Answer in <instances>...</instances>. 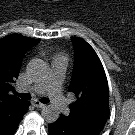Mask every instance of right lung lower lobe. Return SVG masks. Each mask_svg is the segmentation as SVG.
Segmentation results:
<instances>
[{
  "mask_svg": "<svg viewBox=\"0 0 135 135\" xmlns=\"http://www.w3.org/2000/svg\"><path fill=\"white\" fill-rule=\"evenodd\" d=\"M29 105H30V102L26 101L23 106V111H22L21 115L15 121L0 124V135H13L14 134L20 121L23 118V115L26 113Z\"/></svg>",
  "mask_w": 135,
  "mask_h": 135,
  "instance_id": "right-lung-lower-lobe-1",
  "label": "right lung lower lobe"
}]
</instances>
